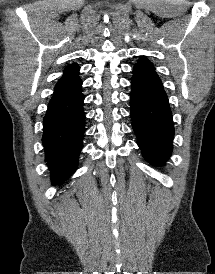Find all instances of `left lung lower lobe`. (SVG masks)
<instances>
[{"label": "left lung lower lobe", "mask_w": 215, "mask_h": 274, "mask_svg": "<svg viewBox=\"0 0 215 274\" xmlns=\"http://www.w3.org/2000/svg\"><path fill=\"white\" fill-rule=\"evenodd\" d=\"M130 94L132 127L144 158L164 165L172 152L174 126L168 98L155 70L134 66Z\"/></svg>", "instance_id": "1"}]
</instances>
